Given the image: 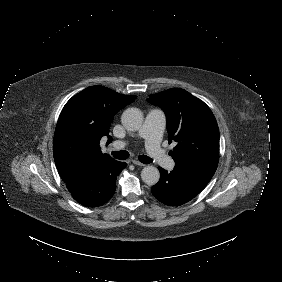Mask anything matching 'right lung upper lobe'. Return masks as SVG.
<instances>
[{
  "label": "right lung upper lobe",
  "instance_id": "obj_1",
  "mask_svg": "<svg viewBox=\"0 0 282 282\" xmlns=\"http://www.w3.org/2000/svg\"><path fill=\"white\" fill-rule=\"evenodd\" d=\"M136 96L119 94L107 87L91 86L73 96L59 116L53 140V155L64 182L84 170L114 160L99 146L108 137L113 116Z\"/></svg>",
  "mask_w": 282,
  "mask_h": 282
}]
</instances>
